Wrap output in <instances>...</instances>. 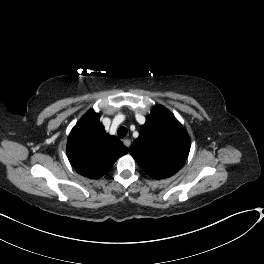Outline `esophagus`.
Returning <instances> with one entry per match:
<instances>
[{
    "label": "esophagus",
    "instance_id": "1",
    "mask_svg": "<svg viewBox=\"0 0 264 264\" xmlns=\"http://www.w3.org/2000/svg\"><path fill=\"white\" fill-rule=\"evenodd\" d=\"M123 143H124V145H125L126 147H129L130 144H131V141H130L129 139H124V140H123Z\"/></svg>",
    "mask_w": 264,
    "mask_h": 264
}]
</instances>
